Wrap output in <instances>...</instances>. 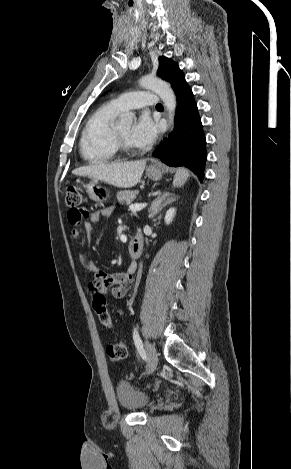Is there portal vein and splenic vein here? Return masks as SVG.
<instances>
[{"instance_id": "obj_1", "label": "portal vein and splenic vein", "mask_w": 291, "mask_h": 469, "mask_svg": "<svg viewBox=\"0 0 291 469\" xmlns=\"http://www.w3.org/2000/svg\"><path fill=\"white\" fill-rule=\"evenodd\" d=\"M145 206H146V204H131V205L129 206V209H130L132 212H136V211L142 210Z\"/></svg>"}]
</instances>
